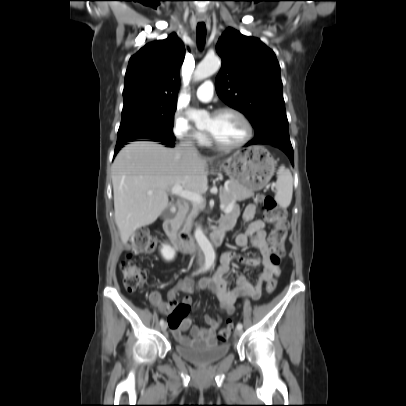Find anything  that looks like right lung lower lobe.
Segmentation results:
<instances>
[{
	"label": "right lung lower lobe",
	"mask_w": 406,
	"mask_h": 406,
	"mask_svg": "<svg viewBox=\"0 0 406 406\" xmlns=\"http://www.w3.org/2000/svg\"><path fill=\"white\" fill-rule=\"evenodd\" d=\"M157 142H161V144L166 145L167 147H174V139H161L157 140ZM125 144L116 145L114 156L118 153V151L124 146Z\"/></svg>",
	"instance_id": "right-lung-lower-lobe-1"
}]
</instances>
